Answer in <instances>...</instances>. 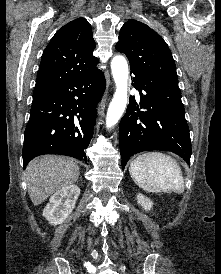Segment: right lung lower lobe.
<instances>
[{"instance_id": "1", "label": "right lung lower lobe", "mask_w": 221, "mask_h": 274, "mask_svg": "<svg viewBox=\"0 0 221 274\" xmlns=\"http://www.w3.org/2000/svg\"><path fill=\"white\" fill-rule=\"evenodd\" d=\"M106 81L101 70L80 76L51 90L33 94L22 151L24 169L43 154L67 155L88 162V147L96 122V104Z\"/></svg>"}]
</instances>
